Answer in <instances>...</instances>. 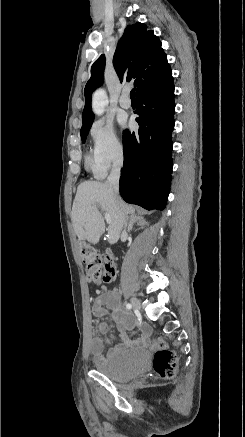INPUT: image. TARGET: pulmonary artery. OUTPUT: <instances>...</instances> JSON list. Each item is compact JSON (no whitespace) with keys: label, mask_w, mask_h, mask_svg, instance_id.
Here are the masks:
<instances>
[{"label":"pulmonary artery","mask_w":245,"mask_h":437,"mask_svg":"<svg viewBox=\"0 0 245 437\" xmlns=\"http://www.w3.org/2000/svg\"><path fill=\"white\" fill-rule=\"evenodd\" d=\"M129 89L125 88L119 98V105L124 109H129L131 107V101L128 97Z\"/></svg>","instance_id":"obj_1"}]
</instances>
